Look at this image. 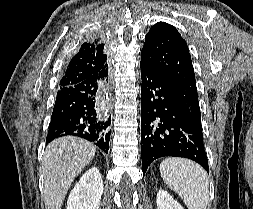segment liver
Instances as JSON below:
<instances>
[{
    "instance_id": "liver-1",
    "label": "liver",
    "mask_w": 253,
    "mask_h": 209,
    "mask_svg": "<svg viewBox=\"0 0 253 209\" xmlns=\"http://www.w3.org/2000/svg\"><path fill=\"white\" fill-rule=\"evenodd\" d=\"M95 153L94 144L74 136H64L48 144L42 161L46 209H61L72 182Z\"/></svg>"
}]
</instances>
